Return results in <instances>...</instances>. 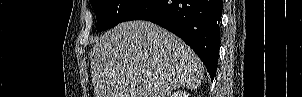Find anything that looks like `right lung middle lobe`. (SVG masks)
Wrapping results in <instances>:
<instances>
[{
	"instance_id": "obj_1",
	"label": "right lung middle lobe",
	"mask_w": 302,
	"mask_h": 97,
	"mask_svg": "<svg viewBox=\"0 0 302 97\" xmlns=\"http://www.w3.org/2000/svg\"><path fill=\"white\" fill-rule=\"evenodd\" d=\"M141 0H90L95 11L98 31L110 29L122 22L124 16Z\"/></svg>"
}]
</instances>
